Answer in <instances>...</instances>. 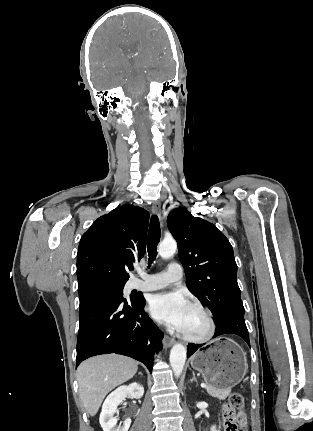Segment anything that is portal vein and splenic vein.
Returning <instances> with one entry per match:
<instances>
[{"label": "portal vein and splenic vein", "instance_id": "1", "mask_svg": "<svg viewBox=\"0 0 313 431\" xmlns=\"http://www.w3.org/2000/svg\"><path fill=\"white\" fill-rule=\"evenodd\" d=\"M201 387H202V388H206V387H207V385H206L205 383H202V384H201Z\"/></svg>", "mask_w": 313, "mask_h": 431}]
</instances>
